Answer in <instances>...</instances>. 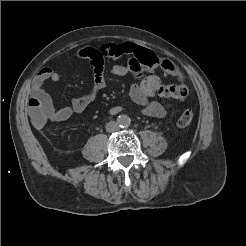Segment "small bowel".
I'll use <instances>...</instances> for the list:
<instances>
[{
	"label": "small bowel",
	"instance_id": "1",
	"mask_svg": "<svg viewBox=\"0 0 246 246\" xmlns=\"http://www.w3.org/2000/svg\"><path fill=\"white\" fill-rule=\"evenodd\" d=\"M136 46L133 43H107L100 47H84L76 52V58L88 60L94 69V82L92 89L85 95L74 98L70 106L56 108L50 96L43 86L48 80L58 81L61 78L60 71L51 67L42 68L33 80L31 94L46 100L51 105L49 120L61 122L69 119L74 114H81L88 105L95 100L99 92L105 86L104 61L106 58L118 59L126 57L125 64L114 65L110 73L114 76H124L133 74L135 81L129 90L131 100L142 108L145 115L163 118L167 115L170 104H165L156 100L157 93L161 85V78L154 73L153 69H146L138 66L133 60V52ZM149 72L148 75H144ZM123 111L122 106H112L108 112L112 115Z\"/></svg>",
	"mask_w": 246,
	"mask_h": 246
}]
</instances>
